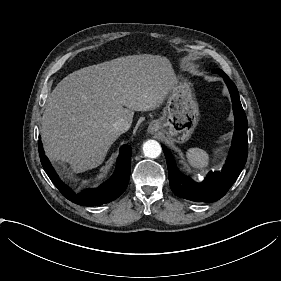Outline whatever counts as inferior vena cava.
<instances>
[{"label": "inferior vena cava", "instance_id": "602c4592", "mask_svg": "<svg viewBox=\"0 0 281 281\" xmlns=\"http://www.w3.org/2000/svg\"><path fill=\"white\" fill-rule=\"evenodd\" d=\"M130 125L131 124L124 119H119L113 124L114 128L121 133H125L126 131H128L130 128Z\"/></svg>", "mask_w": 281, "mask_h": 281}]
</instances>
